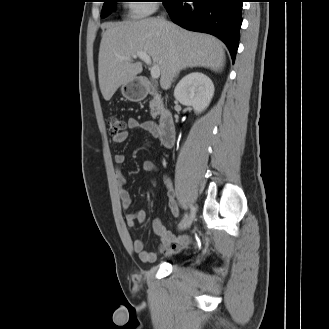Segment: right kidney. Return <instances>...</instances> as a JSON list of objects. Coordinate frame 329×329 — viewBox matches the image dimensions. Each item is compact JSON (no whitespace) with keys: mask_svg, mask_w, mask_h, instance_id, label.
Segmentation results:
<instances>
[{"mask_svg":"<svg viewBox=\"0 0 329 329\" xmlns=\"http://www.w3.org/2000/svg\"><path fill=\"white\" fill-rule=\"evenodd\" d=\"M214 95L211 79L201 72L186 75L176 86L174 97L183 105L192 106L195 113L205 110Z\"/></svg>","mask_w":329,"mask_h":329,"instance_id":"obj_1","label":"right kidney"}]
</instances>
